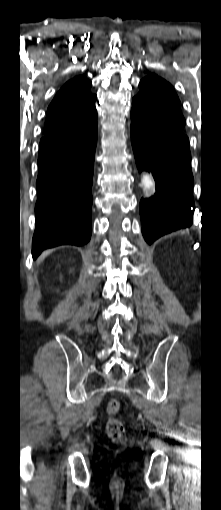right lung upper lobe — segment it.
Segmentation results:
<instances>
[{
  "label": "right lung upper lobe",
  "instance_id": "1",
  "mask_svg": "<svg viewBox=\"0 0 221 510\" xmlns=\"http://www.w3.org/2000/svg\"><path fill=\"white\" fill-rule=\"evenodd\" d=\"M91 81L84 76L69 80L57 93L47 110L44 137L40 142L76 133L97 117L96 95Z\"/></svg>",
  "mask_w": 221,
  "mask_h": 510
}]
</instances>
